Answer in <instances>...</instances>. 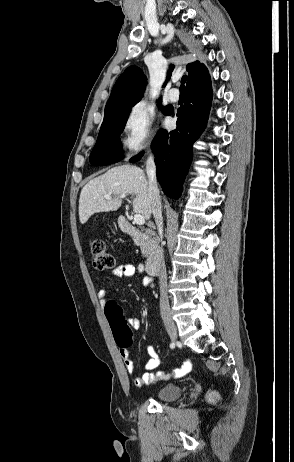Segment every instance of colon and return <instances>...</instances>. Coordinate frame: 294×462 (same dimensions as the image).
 I'll return each instance as SVG.
<instances>
[{
  "label": "colon",
  "instance_id": "1",
  "mask_svg": "<svg viewBox=\"0 0 294 462\" xmlns=\"http://www.w3.org/2000/svg\"><path fill=\"white\" fill-rule=\"evenodd\" d=\"M91 260L93 266L98 270H106L114 267L115 256L103 240H95L91 244ZM105 315L111 326L115 341L118 345L128 346L132 341V332L123 315L121 307L114 301L109 300L104 306ZM211 401L218 399L216 393L209 396Z\"/></svg>",
  "mask_w": 294,
  "mask_h": 462
}]
</instances>
